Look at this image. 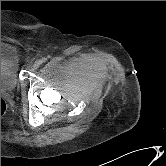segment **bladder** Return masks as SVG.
<instances>
[{
	"mask_svg": "<svg viewBox=\"0 0 166 166\" xmlns=\"http://www.w3.org/2000/svg\"><path fill=\"white\" fill-rule=\"evenodd\" d=\"M19 84V56L17 48L1 40V92L12 91Z\"/></svg>",
	"mask_w": 166,
	"mask_h": 166,
	"instance_id": "bladder-1",
	"label": "bladder"
}]
</instances>
